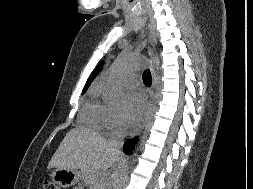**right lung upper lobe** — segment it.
<instances>
[{
    "label": "right lung upper lobe",
    "instance_id": "cb5924a9",
    "mask_svg": "<svg viewBox=\"0 0 253 189\" xmlns=\"http://www.w3.org/2000/svg\"><path fill=\"white\" fill-rule=\"evenodd\" d=\"M104 62H101L91 73V75L89 76V79L87 80V83L84 87V90L89 87L90 83L93 81V79L98 75V73L101 71L102 67H103Z\"/></svg>",
    "mask_w": 253,
    "mask_h": 189
}]
</instances>
